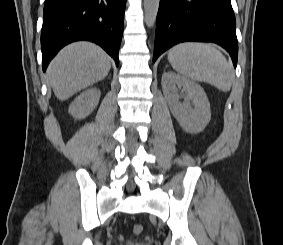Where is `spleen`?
Listing matches in <instances>:
<instances>
[{"mask_svg":"<svg viewBox=\"0 0 283 245\" xmlns=\"http://www.w3.org/2000/svg\"><path fill=\"white\" fill-rule=\"evenodd\" d=\"M168 60L178 73L189 80L209 83L224 92L232 86V65L211 44L180 43L169 50Z\"/></svg>","mask_w":283,"mask_h":245,"instance_id":"1","label":"spleen"}]
</instances>
